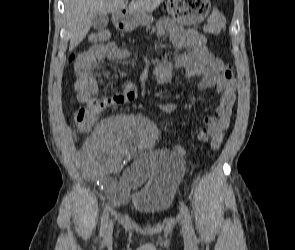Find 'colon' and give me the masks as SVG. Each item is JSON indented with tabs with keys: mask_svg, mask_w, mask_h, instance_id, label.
Listing matches in <instances>:
<instances>
[{
	"mask_svg": "<svg viewBox=\"0 0 295 250\" xmlns=\"http://www.w3.org/2000/svg\"><path fill=\"white\" fill-rule=\"evenodd\" d=\"M225 26V18L219 9H213L206 20L205 31L209 34H218ZM109 39V33L104 30L97 31L93 34L92 40L95 44H103ZM87 53V49L80 50L74 57L78 60H83ZM225 78H233V71L230 65L225 66ZM99 111L95 106L84 105L77 107L73 112V119L77 127L81 130H90L99 116ZM212 149H219L218 144H214Z\"/></svg>",
	"mask_w": 295,
	"mask_h": 250,
	"instance_id": "1",
	"label": "colon"
}]
</instances>
